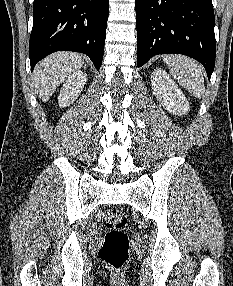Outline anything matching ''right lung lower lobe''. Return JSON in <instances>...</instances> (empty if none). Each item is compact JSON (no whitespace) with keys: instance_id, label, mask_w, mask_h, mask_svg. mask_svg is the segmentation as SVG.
Masks as SVG:
<instances>
[{"instance_id":"right-lung-lower-lobe-1","label":"right lung lower lobe","mask_w":233,"mask_h":286,"mask_svg":"<svg viewBox=\"0 0 233 286\" xmlns=\"http://www.w3.org/2000/svg\"><path fill=\"white\" fill-rule=\"evenodd\" d=\"M108 11L109 0H34L31 71L38 61L61 50L86 54L99 70Z\"/></svg>"}]
</instances>
